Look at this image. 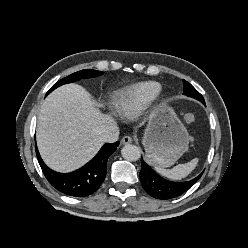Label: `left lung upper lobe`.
Listing matches in <instances>:
<instances>
[{
    "label": "left lung upper lobe",
    "mask_w": 248,
    "mask_h": 248,
    "mask_svg": "<svg viewBox=\"0 0 248 248\" xmlns=\"http://www.w3.org/2000/svg\"><path fill=\"white\" fill-rule=\"evenodd\" d=\"M183 84H184V94L189 96V97H193L199 101H201L203 104H205L204 98L203 96L187 81L183 80Z\"/></svg>",
    "instance_id": "left-lung-upper-lobe-1"
}]
</instances>
